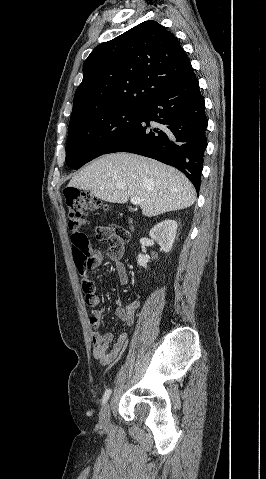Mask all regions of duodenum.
<instances>
[{
	"mask_svg": "<svg viewBox=\"0 0 266 479\" xmlns=\"http://www.w3.org/2000/svg\"><path fill=\"white\" fill-rule=\"evenodd\" d=\"M124 254V246L122 244L113 245L110 250V255L114 259L116 257H121Z\"/></svg>",
	"mask_w": 266,
	"mask_h": 479,
	"instance_id": "obj_1",
	"label": "duodenum"
}]
</instances>
